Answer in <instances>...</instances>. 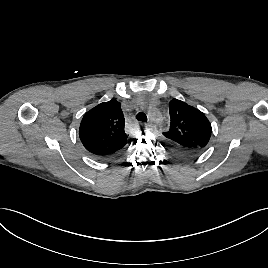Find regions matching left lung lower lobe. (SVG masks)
<instances>
[{
  "label": "left lung lower lobe",
  "instance_id": "1",
  "mask_svg": "<svg viewBox=\"0 0 268 268\" xmlns=\"http://www.w3.org/2000/svg\"><path fill=\"white\" fill-rule=\"evenodd\" d=\"M171 146L176 154H178L179 156L185 157V158L196 157L197 155H199L202 152V150L179 148V147L174 146L173 144H171Z\"/></svg>",
  "mask_w": 268,
  "mask_h": 268
}]
</instances>
